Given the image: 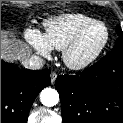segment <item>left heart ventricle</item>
<instances>
[{"label":"left heart ventricle","mask_w":123,"mask_h":123,"mask_svg":"<svg viewBox=\"0 0 123 123\" xmlns=\"http://www.w3.org/2000/svg\"><path fill=\"white\" fill-rule=\"evenodd\" d=\"M105 38V30L102 26H95L90 29L80 40L72 52L74 61H83L90 57L101 45Z\"/></svg>","instance_id":"obj_1"}]
</instances>
